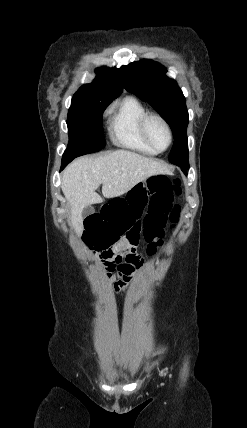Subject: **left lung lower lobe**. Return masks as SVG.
I'll return each mask as SVG.
<instances>
[{
	"instance_id": "left-lung-lower-lobe-1",
	"label": "left lung lower lobe",
	"mask_w": 247,
	"mask_h": 428,
	"mask_svg": "<svg viewBox=\"0 0 247 428\" xmlns=\"http://www.w3.org/2000/svg\"><path fill=\"white\" fill-rule=\"evenodd\" d=\"M175 165H178L179 167L182 168V171L186 174V170L189 169V164L188 163H177Z\"/></svg>"
}]
</instances>
